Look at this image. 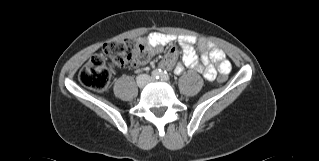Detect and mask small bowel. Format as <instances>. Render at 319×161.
Instances as JSON below:
<instances>
[{
    "label": "small bowel",
    "mask_w": 319,
    "mask_h": 161,
    "mask_svg": "<svg viewBox=\"0 0 319 161\" xmlns=\"http://www.w3.org/2000/svg\"><path fill=\"white\" fill-rule=\"evenodd\" d=\"M140 42L148 47V50L153 56L161 54L165 45L177 42L178 48L182 52L183 64L200 72L208 81H213L216 78L217 71L222 74H228L231 70V64L226 59L223 50L214 47L212 44L205 41L199 42V51L201 52L200 63L193 47L196 43V39L190 35H181L177 37L175 35L152 32L146 38L141 39ZM208 49H210V51H207ZM176 57L177 49L174 47L170 48L160 65L164 68H170L173 66ZM212 63H214L215 66H213ZM183 64L179 63L175 66V73L180 74L183 72Z\"/></svg>",
    "instance_id": "1"
}]
</instances>
